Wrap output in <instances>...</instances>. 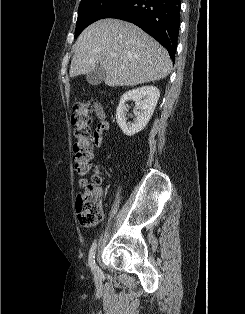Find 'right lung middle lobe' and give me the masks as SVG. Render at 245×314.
<instances>
[{"instance_id": "right-lung-middle-lobe-1", "label": "right lung middle lobe", "mask_w": 245, "mask_h": 314, "mask_svg": "<svg viewBox=\"0 0 245 314\" xmlns=\"http://www.w3.org/2000/svg\"><path fill=\"white\" fill-rule=\"evenodd\" d=\"M128 0H81L76 23L75 38L93 22L102 19L109 12Z\"/></svg>"}]
</instances>
